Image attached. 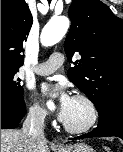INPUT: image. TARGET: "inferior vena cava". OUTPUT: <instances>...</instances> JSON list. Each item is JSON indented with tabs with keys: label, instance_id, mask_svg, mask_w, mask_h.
Wrapping results in <instances>:
<instances>
[{
	"label": "inferior vena cava",
	"instance_id": "obj_1",
	"mask_svg": "<svg viewBox=\"0 0 123 152\" xmlns=\"http://www.w3.org/2000/svg\"><path fill=\"white\" fill-rule=\"evenodd\" d=\"M45 111H30L23 123L22 131L27 134L31 140H45L44 136V119Z\"/></svg>",
	"mask_w": 123,
	"mask_h": 152
}]
</instances>
